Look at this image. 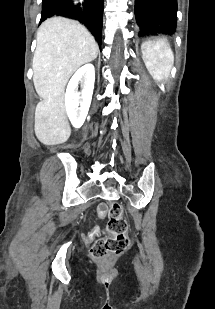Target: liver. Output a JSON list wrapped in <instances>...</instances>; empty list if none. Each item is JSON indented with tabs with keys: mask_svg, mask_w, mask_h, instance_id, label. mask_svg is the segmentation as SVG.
I'll return each instance as SVG.
<instances>
[{
	"mask_svg": "<svg viewBox=\"0 0 215 309\" xmlns=\"http://www.w3.org/2000/svg\"><path fill=\"white\" fill-rule=\"evenodd\" d=\"M98 50L94 36L78 20L52 16L39 26L32 68L36 92L43 100L36 106L34 130L43 144L69 138L65 86L79 66L96 58Z\"/></svg>",
	"mask_w": 215,
	"mask_h": 309,
	"instance_id": "1",
	"label": "liver"
}]
</instances>
